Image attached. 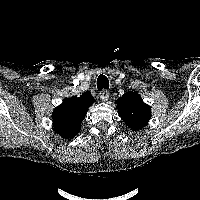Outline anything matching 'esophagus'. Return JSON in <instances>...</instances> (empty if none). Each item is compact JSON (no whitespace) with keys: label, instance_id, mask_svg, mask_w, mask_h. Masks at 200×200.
I'll use <instances>...</instances> for the list:
<instances>
[{"label":"esophagus","instance_id":"1","mask_svg":"<svg viewBox=\"0 0 200 200\" xmlns=\"http://www.w3.org/2000/svg\"><path fill=\"white\" fill-rule=\"evenodd\" d=\"M100 99L102 101H107L109 99V91L106 90V89H103L101 92H100Z\"/></svg>","mask_w":200,"mask_h":200}]
</instances>
